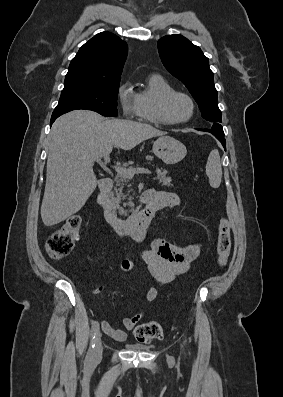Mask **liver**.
Here are the masks:
<instances>
[{
	"mask_svg": "<svg viewBox=\"0 0 283 397\" xmlns=\"http://www.w3.org/2000/svg\"><path fill=\"white\" fill-rule=\"evenodd\" d=\"M153 126L131 120H104L90 110H75L59 117L49 137V154L41 218L53 226L77 213L97 186L96 158L113 146L131 150L141 142L165 135Z\"/></svg>",
	"mask_w": 283,
	"mask_h": 397,
	"instance_id": "obj_1",
	"label": "liver"
}]
</instances>
